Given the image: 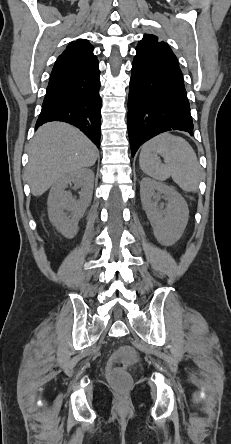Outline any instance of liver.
Instances as JSON below:
<instances>
[{"label": "liver", "instance_id": "liver-1", "mask_svg": "<svg viewBox=\"0 0 231 444\" xmlns=\"http://www.w3.org/2000/svg\"><path fill=\"white\" fill-rule=\"evenodd\" d=\"M96 146L78 129L63 123L41 126L29 148L25 178L34 196L45 193L64 175L95 164Z\"/></svg>", "mask_w": 231, "mask_h": 444}]
</instances>
